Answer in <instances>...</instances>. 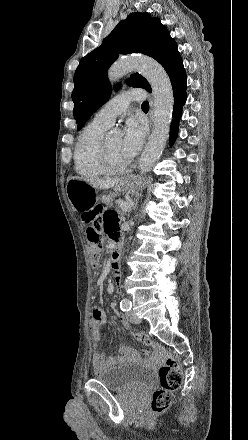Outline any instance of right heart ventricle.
<instances>
[{
	"label": "right heart ventricle",
	"instance_id": "1",
	"mask_svg": "<svg viewBox=\"0 0 248 440\" xmlns=\"http://www.w3.org/2000/svg\"><path fill=\"white\" fill-rule=\"evenodd\" d=\"M106 126L91 121L79 135L74 152L77 173L86 177H100L107 172L100 161V146Z\"/></svg>",
	"mask_w": 248,
	"mask_h": 440
}]
</instances>
